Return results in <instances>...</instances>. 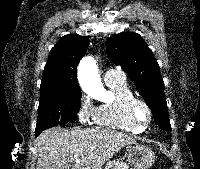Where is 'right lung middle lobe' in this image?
<instances>
[{"instance_id": "right-lung-middle-lobe-1", "label": "right lung middle lobe", "mask_w": 200, "mask_h": 169, "mask_svg": "<svg viewBox=\"0 0 200 169\" xmlns=\"http://www.w3.org/2000/svg\"><path fill=\"white\" fill-rule=\"evenodd\" d=\"M81 92L58 96H41L35 134L52 126H64L75 119L80 109Z\"/></svg>"}]
</instances>
